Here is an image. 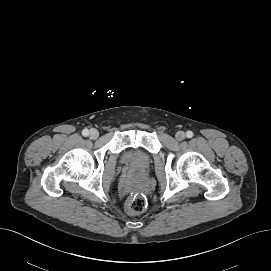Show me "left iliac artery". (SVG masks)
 Masks as SVG:
<instances>
[{"mask_svg": "<svg viewBox=\"0 0 271 271\" xmlns=\"http://www.w3.org/2000/svg\"><path fill=\"white\" fill-rule=\"evenodd\" d=\"M186 136H187L188 138L193 137V132H192V131H187V132H186Z\"/></svg>", "mask_w": 271, "mask_h": 271, "instance_id": "left-iliac-artery-1", "label": "left iliac artery"}]
</instances>
